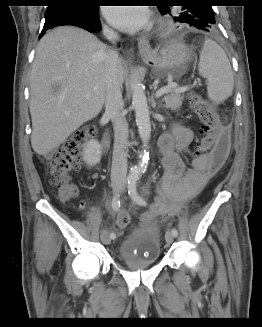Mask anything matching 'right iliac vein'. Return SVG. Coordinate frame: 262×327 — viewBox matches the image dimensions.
Returning <instances> with one entry per match:
<instances>
[{"mask_svg": "<svg viewBox=\"0 0 262 327\" xmlns=\"http://www.w3.org/2000/svg\"><path fill=\"white\" fill-rule=\"evenodd\" d=\"M112 189H113V192L115 194H117L120 189H121V181H115L113 184H112ZM101 240L104 244H110L111 243V238L109 236V233L106 231V230H103L101 232Z\"/></svg>", "mask_w": 262, "mask_h": 327, "instance_id": "1", "label": "right iliac vein"}]
</instances>
